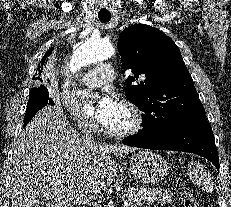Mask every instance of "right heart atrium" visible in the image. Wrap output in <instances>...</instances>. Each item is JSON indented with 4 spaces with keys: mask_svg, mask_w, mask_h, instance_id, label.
Listing matches in <instances>:
<instances>
[{
    "mask_svg": "<svg viewBox=\"0 0 231 207\" xmlns=\"http://www.w3.org/2000/svg\"><path fill=\"white\" fill-rule=\"evenodd\" d=\"M59 105L73 117L80 129L84 131H94L96 129L95 121L71 98L62 97L59 101Z\"/></svg>",
    "mask_w": 231,
    "mask_h": 207,
    "instance_id": "right-heart-atrium-1",
    "label": "right heart atrium"
}]
</instances>
